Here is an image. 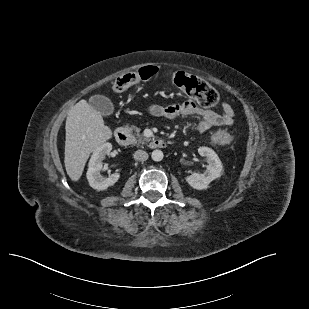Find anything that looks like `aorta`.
<instances>
[{"label": "aorta", "mask_w": 309, "mask_h": 309, "mask_svg": "<svg viewBox=\"0 0 309 309\" xmlns=\"http://www.w3.org/2000/svg\"><path fill=\"white\" fill-rule=\"evenodd\" d=\"M151 157L154 161L159 162L163 159L164 155L161 150L156 149L152 152Z\"/></svg>", "instance_id": "obj_1"}]
</instances>
